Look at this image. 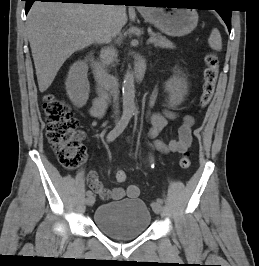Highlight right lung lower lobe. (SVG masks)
<instances>
[{"label": "right lung lower lobe", "instance_id": "right-lung-lower-lobe-1", "mask_svg": "<svg viewBox=\"0 0 259 266\" xmlns=\"http://www.w3.org/2000/svg\"><path fill=\"white\" fill-rule=\"evenodd\" d=\"M26 1L25 12L28 13L30 7L32 6L34 1H42V2H62V3H84V4H106L109 1L115 2H125L127 0H22ZM127 5V4H125Z\"/></svg>", "mask_w": 259, "mask_h": 266}]
</instances>
